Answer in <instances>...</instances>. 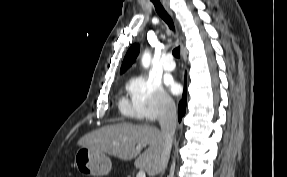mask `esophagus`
Segmentation results:
<instances>
[{
  "label": "esophagus",
  "mask_w": 287,
  "mask_h": 177,
  "mask_svg": "<svg viewBox=\"0 0 287 177\" xmlns=\"http://www.w3.org/2000/svg\"><path fill=\"white\" fill-rule=\"evenodd\" d=\"M162 4H163L164 8L166 9V11H167L168 13H170V10H169V8H168V3H167V1H166V0H162Z\"/></svg>",
  "instance_id": "esophagus-1"
}]
</instances>
